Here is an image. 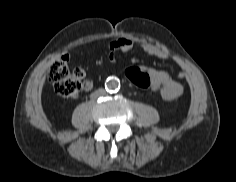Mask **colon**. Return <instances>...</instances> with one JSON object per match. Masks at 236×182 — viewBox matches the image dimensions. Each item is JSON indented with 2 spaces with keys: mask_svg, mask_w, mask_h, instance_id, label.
Returning a JSON list of instances; mask_svg holds the SVG:
<instances>
[{
  "mask_svg": "<svg viewBox=\"0 0 236 182\" xmlns=\"http://www.w3.org/2000/svg\"><path fill=\"white\" fill-rule=\"evenodd\" d=\"M126 78L134 86L147 89L151 86L149 73L140 67H130L125 71ZM84 72L81 69L69 70L65 62L55 61L49 68L48 79L57 94L62 97H75L83 88Z\"/></svg>",
  "mask_w": 236,
  "mask_h": 182,
  "instance_id": "colon-1",
  "label": "colon"
}]
</instances>
